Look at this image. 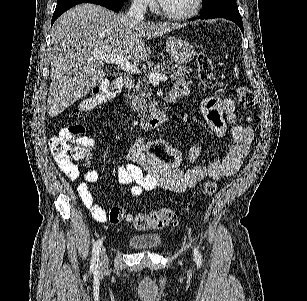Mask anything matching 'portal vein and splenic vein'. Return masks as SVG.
<instances>
[{
	"mask_svg": "<svg viewBox=\"0 0 307 301\" xmlns=\"http://www.w3.org/2000/svg\"><path fill=\"white\" fill-rule=\"evenodd\" d=\"M96 56L102 58L105 62H114V64H117V66H120V68H123L126 72H131V74L140 72L137 64H132V62L127 60L126 56H122V54H96ZM167 78V74H158V72H149L147 76V80H149L151 84H159L160 80H167Z\"/></svg>",
	"mask_w": 307,
	"mask_h": 301,
	"instance_id": "18ae733b",
	"label": "portal vein and splenic vein"
}]
</instances>
